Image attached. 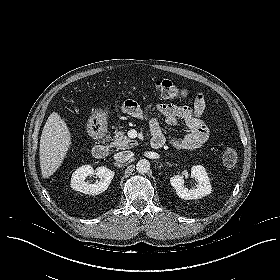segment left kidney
I'll list each match as a JSON object with an SVG mask.
<instances>
[{
  "label": "left kidney",
  "mask_w": 280,
  "mask_h": 280,
  "mask_svg": "<svg viewBox=\"0 0 280 280\" xmlns=\"http://www.w3.org/2000/svg\"><path fill=\"white\" fill-rule=\"evenodd\" d=\"M191 177L197 182V184L191 189H188L184 185V177L182 175H175L170 178V183L180 198L185 200L200 199L211 193L212 187L210 180L206 169L203 166H193L191 168Z\"/></svg>",
  "instance_id": "1"
}]
</instances>
